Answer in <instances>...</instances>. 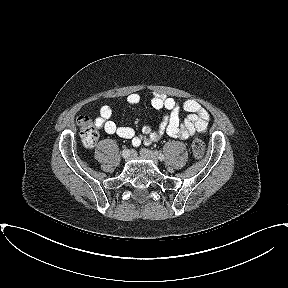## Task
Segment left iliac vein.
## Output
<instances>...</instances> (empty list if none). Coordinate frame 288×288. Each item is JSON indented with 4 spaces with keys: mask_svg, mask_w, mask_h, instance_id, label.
Listing matches in <instances>:
<instances>
[{
    "mask_svg": "<svg viewBox=\"0 0 288 288\" xmlns=\"http://www.w3.org/2000/svg\"><path fill=\"white\" fill-rule=\"evenodd\" d=\"M140 155L143 158L151 160L154 164H158V159H157L156 155L152 151H150L148 149H145V148H142L140 150Z\"/></svg>",
    "mask_w": 288,
    "mask_h": 288,
    "instance_id": "obj_1",
    "label": "left iliac vein"
}]
</instances>
